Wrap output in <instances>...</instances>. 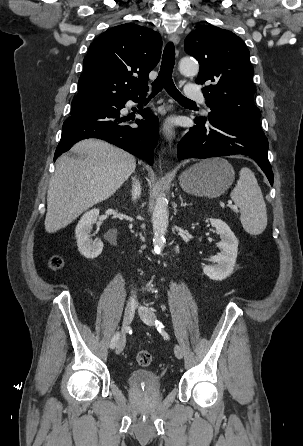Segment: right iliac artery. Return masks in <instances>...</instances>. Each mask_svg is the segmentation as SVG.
Listing matches in <instances>:
<instances>
[{
  "instance_id": "82829eb1",
  "label": "right iliac artery",
  "mask_w": 303,
  "mask_h": 446,
  "mask_svg": "<svg viewBox=\"0 0 303 446\" xmlns=\"http://www.w3.org/2000/svg\"><path fill=\"white\" fill-rule=\"evenodd\" d=\"M119 337H120V333L116 332L111 340V343H110L111 349L115 348V346L117 345V342L119 340Z\"/></svg>"
}]
</instances>
